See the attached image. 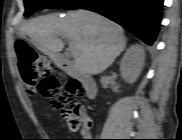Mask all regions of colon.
I'll list each match as a JSON object with an SVG mask.
<instances>
[{"instance_id":"1","label":"colon","mask_w":182,"mask_h":140,"mask_svg":"<svg viewBox=\"0 0 182 140\" xmlns=\"http://www.w3.org/2000/svg\"><path fill=\"white\" fill-rule=\"evenodd\" d=\"M15 50L28 93L48 98L54 109L62 111L72 130L89 128L91 121L85 109L77 102V97L83 93L81 83L74 79L62 83L51 73L49 60L27 41L17 40Z\"/></svg>"}]
</instances>
